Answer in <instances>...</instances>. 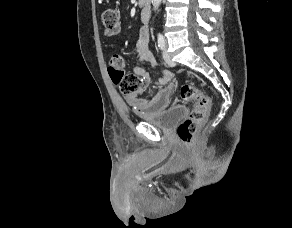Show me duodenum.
Masks as SVG:
<instances>
[{"label": "duodenum", "mask_w": 292, "mask_h": 228, "mask_svg": "<svg viewBox=\"0 0 292 228\" xmlns=\"http://www.w3.org/2000/svg\"><path fill=\"white\" fill-rule=\"evenodd\" d=\"M140 5L143 7H148L150 5L151 0H138Z\"/></svg>", "instance_id": "duodenum-1"}]
</instances>
